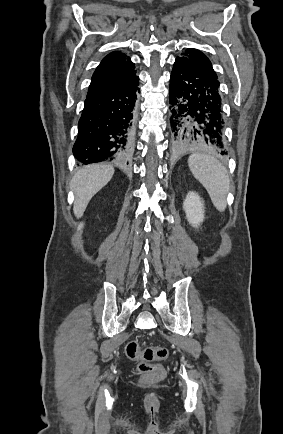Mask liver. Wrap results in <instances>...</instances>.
<instances>
[{
    "label": "liver",
    "instance_id": "1",
    "mask_svg": "<svg viewBox=\"0 0 283 434\" xmlns=\"http://www.w3.org/2000/svg\"><path fill=\"white\" fill-rule=\"evenodd\" d=\"M114 168L111 165H89L80 169L71 181L75 193L73 212L80 218L91 198L112 178Z\"/></svg>",
    "mask_w": 283,
    "mask_h": 434
}]
</instances>
